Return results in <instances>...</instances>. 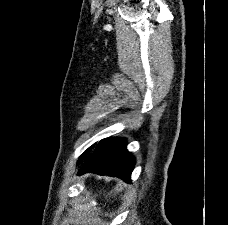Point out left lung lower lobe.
<instances>
[{"instance_id": "0a47b994", "label": "left lung lower lobe", "mask_w": 228, "mask_h": 225, "mask_svg": "<svg viewBox=\"0 0 228 225\" xmlns=\"http://www.w3.org/2000/svg\"><path fill=\"white\" fill-rule=\"evenodd\" d=\"M135 158L126 149L122 138L102 139L86 159L79 175L93 172L100 175L116 176L130 182Z\"/></svg>"}]
</instances>
